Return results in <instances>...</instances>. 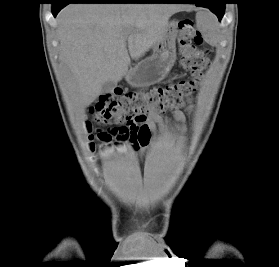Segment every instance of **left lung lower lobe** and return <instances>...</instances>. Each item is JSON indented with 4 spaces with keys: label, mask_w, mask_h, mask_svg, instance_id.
Here are the masks:
<instances>
[{
    "label": "left lung lower lobe",
    "mask_w": 279,
    "mask_h": 267,
    "mask_svg": "<svg viewBox=\"0 0 279 267\" xmlns=\"http://www.w3.org/2000/svg\"><path fill=\"white\" fill-rule=\"evenodd\" d=\"M162 3H195L196 6L206 7L217 15L219 21L222 19L225 10L226 0H165Z\"/></svg>",
    "instance_id": "left-lung-lower-lobe-1"
}]
</instances>
